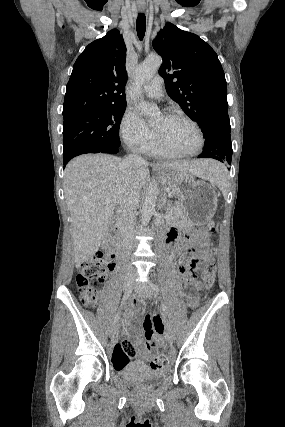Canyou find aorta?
<instances>
[{
    "label": "aorta",
    "instance_id": "762f6f07",
    "mask_svg": "<svg viewBox=\"0 0 285 427\" xmlns=\"http://www.w3.org/2000/svg\"><path fill=\"white\" fill-rule=\"evenodd\" d=\"M162 64V59L157 54L149 55L145 61L139 64L135 69L133 90L138 97L137 108L141 113L149 118H153L159 114V109L155 104H150L144 100L141 95L142 86L146 81L153 78L155 73L158 71ZM158 188L154 184H150L145 201L141 210V224L147 226L151 220V217L155 211L156 195Z\"/></svg>",
    "mask_w": 285,
    "mask_h": 427
}]
</instances>
